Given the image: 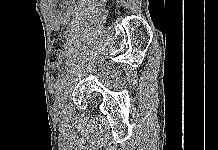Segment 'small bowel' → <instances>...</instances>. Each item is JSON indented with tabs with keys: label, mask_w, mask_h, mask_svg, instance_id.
I'll return each mask as SVG.
<instances>
[{
	"label": "small bowel",
	"mask_w": 218,
	"mask_h": 150,
	"mask_svg": "<svg viewBox=\"0 0 218 150\" xmlns=\"http://www.w3.org/2000/svg\"><path fill=\"white\" fill-rule=\"evenodd\" d=\"M48 9L50 10V17L52 28L57 30L62 25L69 22L71 15L74 12L73 0H63L62 9L56 10L58 0H47Z\"/></svg>",
	"instance_id": "c3829d8e"
}]
</instances>
